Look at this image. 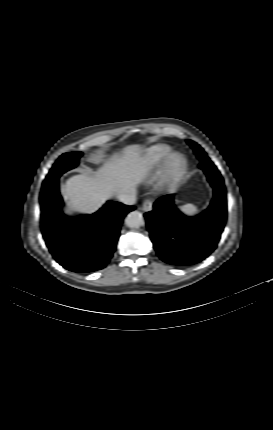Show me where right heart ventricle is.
Returning a JSON list of instances; mask_svg holds the SVG:
<instances>
[{
    "instance_id": "obj_1",
    "label": "right heart ventricle",
    "mask_w": 273,
    "mask_h": 430,
    "mask_svg": "<svg viewBox=\"0 0 273 430\" xmlns=\"http://www.w3.org/2000/svg\"><path fill=\"white\" fill-rule=\"evenodd\" d=\"M171 148L167 145L157 144L151 146L144 159V167L152 169L158 166L170 153Z\"/></svg>"
}]
</instances>
